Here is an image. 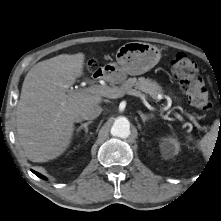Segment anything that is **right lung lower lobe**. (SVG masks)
Masks as SVG:
<instances>
[{
    "mask_svg": "<svg viewBox=\"0 0 221 221\" xmlns=\"http://www.w3.org/2000/svg\"><path fill=\"white\" fill-rule=\"evenodd\" d=\"M32 172H33L35 175H37L38 177H40V178H42V179H45V177H44L43 175L39 174L38 172L33 171V170H32Z\"/></svg>",
    "mask_w": 221,
    "mask_h": 221,
    "instance_id": "1",
    "label": "right lung lower lobe"
}]
</instances>
